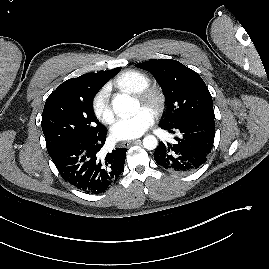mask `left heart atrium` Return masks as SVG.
I'll return each mask as SVG.
<instances>
[{
  "mask_svg": "<svg viewBox=\"0 0 269 269\" xmlns=\"http://www.w3.org/2000/svg\"><path fill=\"white\" fill-rule=\"evenodd\" d=\"M153 123L154 113L142 107L133 116L119 119L112 128V135L117 140H131L141 136Z\"/></svg>",
  "mask_w": 269,
  "mask_h": 269,
  "instance_id": "1",
  "label": "left heart atrium"
}]
</instances>
